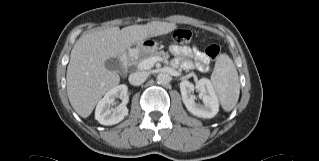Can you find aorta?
Listing matches in <instances>:
<instances>
[{
  "label": "aorta",
  "mask_w": 319,
  "mask_h": 161,
  "mask_svg": "<svg viewBox=\"0 0 319 161\" xmlns=\"http://www.w3.org/2000/svg\"><path fill=\"white\" fill-rule=\"evenodd\" d=\"M170 81V76L167 73H159L157 76V82L161 85H165Z\"/></svg>",
  "instance_id": "obj_1"
}]
</instances>
